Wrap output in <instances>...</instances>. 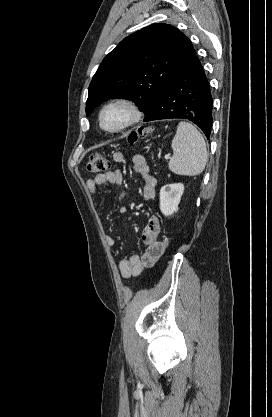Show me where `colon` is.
<instances>
[{
  "label": "colon",
  "instance_id": "5ec220e1",
  "mask_svg": "<svg viewBox=\"0 0 272 417\" xmlns=\"http://www.w3.org/2000/svg\"><path fill=\"white\" fill-rule=\"evenodd\" d=\"M150 132L149 128H140L137 132H133L129 137L128 141L130 143H134L138 140V138L146 135ZM111 162L102 154L100 153H93L90 156L89 162L87 164V169L90 172L97 173V172H108L111 168ZM169 244V237L164 235L160 240V245L163 249H166Z\"/></svg>",
  "mask_w": 272,
  "mask_h": 417
}]
</instances>
